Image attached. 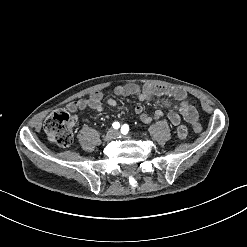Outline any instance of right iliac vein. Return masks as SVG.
Wrapping results in <instances>:
<instances>
[{
  "instance_id": "1",
  "label": "right iliac vein",
  "mask_w": 247,
  "mask_h": 247,
  "mask_svg": "<svg viewBox=\"0 0 247 247\" xmlns=\"http://www.w3.org/2000/svg\"><path fill=\"white\" fill-rule=\"evenodd\" d=\"M115 137H116V131L114 129H109L107 131L106 135L104 136V139L106 141H108V140H111V139H113Z\"/></svg>"
}]
</instances>
